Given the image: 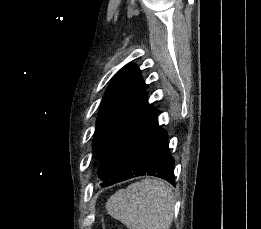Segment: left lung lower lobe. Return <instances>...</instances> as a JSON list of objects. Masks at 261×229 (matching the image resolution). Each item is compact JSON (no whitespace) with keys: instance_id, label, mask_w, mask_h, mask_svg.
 Instances as JSON below:
<instances>
[{"instance_id":"1","label":"left lung lower lobe","mask_w":261,"mask_h":229,"mask_svg":"<svg viewBox=\"0 0 261 229\" xmlns=\"http://www.w3.org/2000/svg\"><path fill=\"white\" fill-rule=\"evenodd\" d=\"M167 139V133L158 125L157 110L148 105L102 158L98 168L101 185L143 175H153L175 185V160Z\"/></svg>"}]
</instances>
